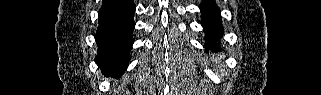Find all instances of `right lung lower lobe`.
Returning a JSON list of instances; mask_svg holds the SVG:
<instances>
[{
    "label": "right lung lower lobe",
    "mask_w": 321,
    "mask_h": 95,
    "mask_svg": "<svg viewBox=\"0 0 321 95\" xmlns=\"http://www.w3.org/2000/svg\"><path fill=\"white\" fill-rule=\"evenodd\" d=\"M133 0H104L96 31V64L108 74L120 75L127 68L135 27Z\"/></svg>",
    "instance_id": "1"
}]
</instances>
